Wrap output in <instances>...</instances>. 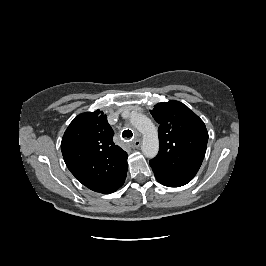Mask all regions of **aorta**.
I'll return each instance as SVG.
<instances>
[{"mask_svg": "<svg viewBox=\"0 0 266 266\" xmlns=\"http://www.w3.org/2000/svg\"><path fill=\"white\" fill-rule=\"evenodd\" d=\"M131 124L143 135L142 152L147 158H154L159 151L157 129L153 122L144 114L132 113Z\"/></svg>", "mask_w": 266, "mask_h": 266, "instance_id": "1", "label": "aorta"}]
</instances>
